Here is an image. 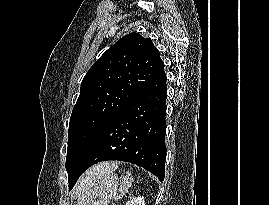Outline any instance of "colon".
<instances>
[{
  "label": "colon",
  "mask_w": 269,
  "mask_h": 205,
  "mask_svg": "<svg viewBox=\"0 0 269 205\" xmlns=\"http://www.w3.org/2000/svg\"><path fill=\"white\" fill-rule=\"evenodd\" d=\"M107 205H115V204H113V203H109V204H107Z\"/></svg>",
  "instance_id": "5ec220e1"
}]
</instances>
